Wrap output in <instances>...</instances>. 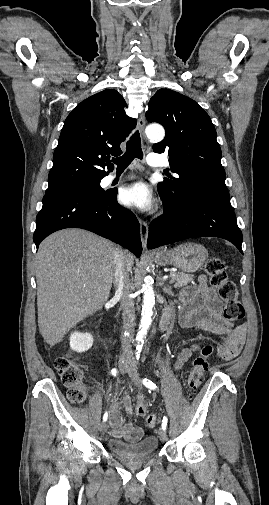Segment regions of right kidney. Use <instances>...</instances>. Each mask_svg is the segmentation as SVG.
I'll return each instance as SVG.
<instances>
[{"mask_svg":"<svg viewBox=\"0 0 269 505\" xmlns=\"http://www.w3.org/2000/svg\"><path fill=\"white\" fill-rule=\"evenodd\" d=\"M93 337L89 333L74 332L70 336V347L76 352L88 351L93 345Z\"/></svg>","mask_w":269,"mask_h":505,"instance_id":"right-kidney-1","label":"right kidney"}]
</instances>
